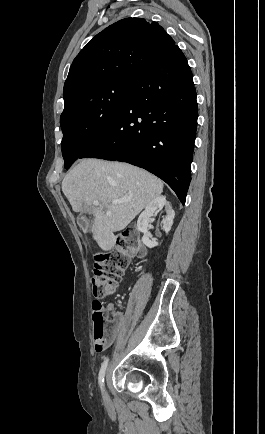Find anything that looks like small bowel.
<instances>
[{
	"label": "small bowel",
	"instance_id": "c3829d8e",
	"mask_svg": "<svg viewBox=\"0 0 265 434\" xmlns=\"http://www.w3.org/2000/svg\"><path fill=\"white\" fill-rule=\"evenodd\" d=\"M107 313H110L112 315V318L109 321L110 329L107 339V345H111L118 334L127 326L128 324V318L127 316L120 311H115L114 306L112 304H108L106 307ZM96 355H101L102 352H95Z\"/></svg>",
	"mask_w": 265,
	"mask_h": 434
}]
</instances>
